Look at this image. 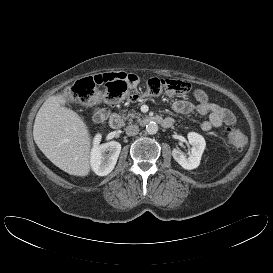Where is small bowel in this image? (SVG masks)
<instances>
[{
  "label": "small bowel",
  "mask_w": 273,
  "mask_h": 273,
  "mask_svg": "<svg viewBox=\"0 0 273 273\" xmlns=\"http://www.w3.org/2000/svg\"><path fill=\"white\" fill-rule=\"evenodd\" d=\"M192 96L195 102L182 99L174 101L172 104L173 111L185 115L193 113L208 115V119L201 123L203 131L220 128L223 125L233 126L235 124L236 119L234 114L229 109L210 101L208 95L203 90H194ZM105 115V110L98 109L95 111L94 118L96 121H100L104 119Z\"/></svg>",
  "instance_id": "1"
}]
</instances>
